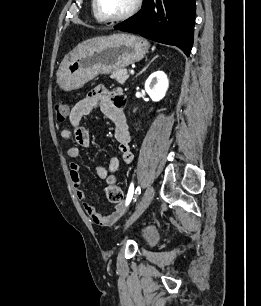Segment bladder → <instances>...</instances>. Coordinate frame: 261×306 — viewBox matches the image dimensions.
<instances>
[{
  "mask_svg": "<svg viewBox=\"0 0 261 306\" xmlns=\"http://www.w3.org/2000/svg\"><path fill=\"white\" fill-rule=\"evenodd\" d=\"M141 236L146 245H153L158 240V233L152 227H147L143 229Z\"/></svg>",
  "mask_w": 261,
  "mask_h": 306,
  "instance_id": "bladder-1",
  "label": "bladder"
}]
</instances>
